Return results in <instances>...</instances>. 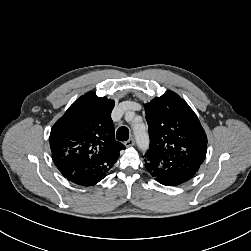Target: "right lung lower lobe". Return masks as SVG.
Here are the masks:
<instances>
[{
    "instance_id": "1",
    "label": "right lung lower lobe",
    "mask_w": 251,
    "mask_h": 251,
    "mask_svg": "<svg viewBox=\"0 0 251 251\" xmlns=\"http://www.w3.org/2000/svg\"><path fill=\"white\" fill-rule=\"evenodd\" d=\"M105 177V176H104ZM104 177L102 178H88L85 180L84 184H79V185H84V186H90V185H94L96 184L97 182H99L100 180H102Z\"/></svg>"
}]
</instances>
